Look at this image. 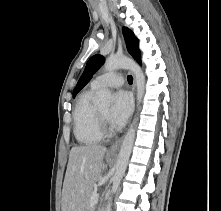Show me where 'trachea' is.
I'll use <instances>...</instances> for the list:
<instances>
[{"label": "trachea", "instance_id": "trachea-1", "mask_svg": "<svg viewBox=\"0 0 221 211\" xmlns=\"http://www.w3.org/2000/svg\"><path fill=\"white\" fill-rule=\"evenodd\" d=\"M127 81L129 84H132L133 83V77L131 75H128L127 76Z\"/></svg>", "mask_w": 221, "mask_h": 211}]
</instances>
